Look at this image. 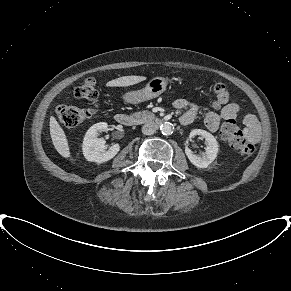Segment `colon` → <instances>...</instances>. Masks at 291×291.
<instances>
[{"instance_id":"obj_1","label":"colon","mask_w":291,"mask_h":291,"mask_svg":"<svg viewBox=\"0 0 291 291\" xmlns=\"http://www.w3.org/2000/svg\"><path fill=\"white\" fill-rule=\"evenodd\" d=\"M74 96L78 99L88 101L91 106L87 108L72 105H60L57 108L59 121L66 127H75L89 119L97 108L99 91L94 78H86L74 90ZM230 94L223 84H217L213 91V104L215 107H223L228 104ZM221 137L239 154L250 156L253 154L255 147L252 142L247 140L237 126L235 119L229 118L224 120L220 129Z\"/></svg>"}]
</instances>
